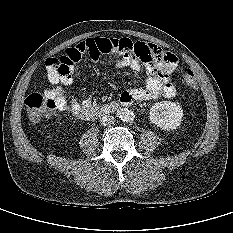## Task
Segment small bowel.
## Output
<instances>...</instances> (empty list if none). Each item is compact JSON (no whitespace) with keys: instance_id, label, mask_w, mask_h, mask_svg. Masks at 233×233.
Masks as SVG:
<instances>
[{"instance_id":"c3829d8e","label":"small bowel","mask_w":233,"mask_h":233,"mask_svg":"<svg viewBox=\"0 0 233 233\" xmlns=\"http://www.w3.org/2000/svg\"><path fill=\"white\" fill-rule=\"evenodd\" d=\"M127 41L130 52H118L117 55L120 58L116 61L115 66L119 69L130 67L139 71L142 63L146 67L147 77L144 87L130 88L123 91L120 100L131 103L133 101L155 100L160 97H175L177 91L170 81V75L178 65L177 57L154 44L142 41ZM136 45L141 46L135 47ZM51 60L52 58L46 61V69L48 81L53 87L49 88L47 92L54 95L57 109L67 111L79 119L86 118L85 111L91 107L92 98L87 97L79 101L74 95H71L67 100L64 96L63 87H71L73 84L72 72L60 74L52 65Z\"/></svg>"}]
</instances>
